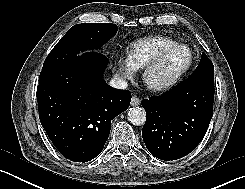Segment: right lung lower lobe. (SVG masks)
Returning a JSON list of instances; mask_svg holds the SVG:
<instances>
[{
	"instance_id": "obj_1",
	"label": "right lung lower lobe",
	"mask_w": 245,
	"mask_h": 189,
	"mask_svg": "<svg viewBox=\"0 0 245 189\" xmlns=\"http://www.w3.org/2000/svg\"><path fill=\"white\" fill-rule=\"evenodd\" d=\"M108 60L86 53L39 82V118L57 150L74 162H87L103 150L111 120L130 105L131 93L108 86Z\"/></svg>"
}]
</instances>
